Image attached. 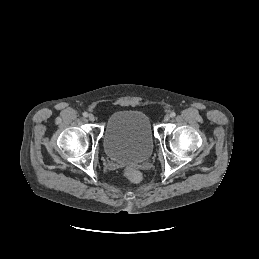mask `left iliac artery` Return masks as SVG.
Listing matches in <instances>:
<instances>
[{
	"label": "left iliac artery",
	"instance_id": "44dca946",
	"mask_svg": "<svg viewBox=\"0 0 259 259\" xmlns=\"http://www.w3.org/2000/svg\"><path fill=\"white\" fill-rule=\"evenodd\" d=\"M170 116L173 118V117L176 116V113H175V112H171V113H170Z\"/></svg>",
	"mask_w": 259,
	"mask_h": 259
}]
</instances>
